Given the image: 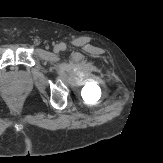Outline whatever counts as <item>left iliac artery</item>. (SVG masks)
<instances>
[{"label": "left iliac artery", "instance_id": "obj_1", "mask_svg": "<svg viewBox=\"0 0 163 163\" xmlns=\"http://www.w3.org/2000/svg\"><path fill=\"white\" fill-rule=\"evenodd\" d=\"M60 48H61L62 50H65V49H66V45H65L64 43H61V44H60Z\"/></svg>", "mask_w": 163, "mask_h": 163}]
</instances>
